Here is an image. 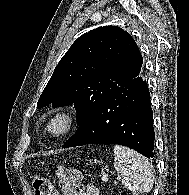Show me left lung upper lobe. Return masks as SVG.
<instances>
[{
	"instance_id": "obj_1",
	"label": "left lung upper lobe",
	"mask_w": 189,
	"mask_h": 195,
	"mask_svg": "<svg viewBox=\"0 0 189 195\" xmlns=\"http://www.w3.org/2000/svg\"><path fill=\"white\" fill-rule=\"evenodd\" d=\"M142 63L128 32L116 26L93 29L61 58L37 108L74 104L80 126L116 89L140 75Z\"/></svg>"
}]
</instances>
